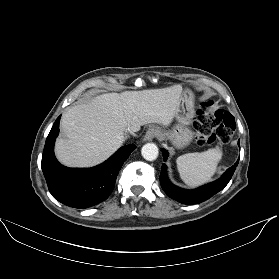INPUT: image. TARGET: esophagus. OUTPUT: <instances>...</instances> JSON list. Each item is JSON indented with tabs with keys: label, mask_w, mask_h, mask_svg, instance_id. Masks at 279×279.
Segmentation results:
<instances>
[{
	"label": "esophagus",
	"mask_w": 279,
	"mask_h": 279,
	"mask_svg": "<svg viewBox=\"0 0 279 279\" xmlns=\"http://www.w3.org/2000/svg\"><path fill=\"white\" fill-rule=\"evenodd\" d=\"M159 135V131L156 127H150L145 135H144V138L143 140L144 141H152L154 138H156L157 136Z\"/></svg>",
	"instance_id": "34e87169"
}]
</instances>
